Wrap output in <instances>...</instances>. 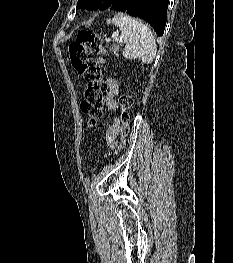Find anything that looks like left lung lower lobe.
Listing matches in <instances>:
<instances>
[{
    "label": "left lung lower lobe",
    "instance_id": "left-lung-lower-lobe-1",
    "mask_svg": "<svg viewBox=\"0 0 233 263\" xmlns=\"http://www.w3.org/2000/svg\"><path fill=\"white\" fill-rule=\"evenodd\" d=\"M168 3L169 0H114L110 9L145 20L162 36L167 22Z\"/></svg>",
    "mask_w": 233,
    "mask_h": 263
}]
</instances>
